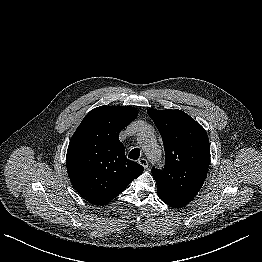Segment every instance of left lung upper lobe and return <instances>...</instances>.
Instances as JSON below:
<instances>
[{
	"mask_svg": "<svg viewBox=\"0 0 262 262\" xmlns=\"http://www.w3.org/2000/svg\"><path fill=\"white\" fill-rule=\"evenodd\" d=\"M165 149L163 171L153 168L158 197L182 207L201 189L210 163V144L204 128L181 110L148 109Z\"/></svg>",
	"mask_w": 262,
	"mask_h": 262,
	"instance_id": "obj_1",
	"label": "left lung upper lobe"
}]
</instances>
